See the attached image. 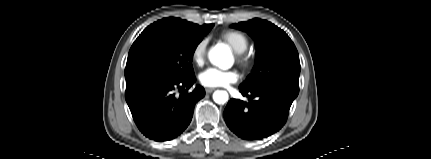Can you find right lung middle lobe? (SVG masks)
Wrapping results in <instances>:
<instances>
[{
	"mask_svg": "<svg viewBox=\"0 0 431 159\" xmlns=\"http://www.w3.org/2000/svg\"><path fill=\"white\" fill-rule=\"evenodd\" d=\"M213 26L208 24L201 32H192L162 20L149 25L130 48L126 82L151 73L178 79L193 77L194 51Z\"/></svg>",
	"mask_w": 431,
	"mask_h": 159,
	"instance_id": "1",
	"label": "right lung middle lobe"
}]
</instances>
